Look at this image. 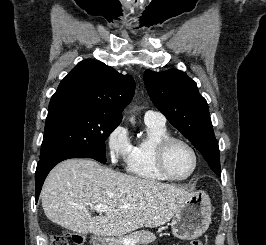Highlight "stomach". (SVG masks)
<instances>
[{"mask_svg": "<svg viewBox=\"0 0 266 245\" xmlns=\"http://www.w3.org/2000/svg\"><path fill=\"white\" fill-rule=\"evenodd\" d=\"M212 217V205L205 191H197L193 197L175 213L171 231L177 239H197L207 231Z\"/></svg>", "mask_w": 266, "mask_h": 245, "instance_id": "1", "label": "stomach"}]
</instances>
